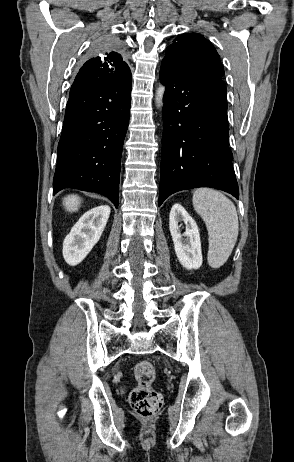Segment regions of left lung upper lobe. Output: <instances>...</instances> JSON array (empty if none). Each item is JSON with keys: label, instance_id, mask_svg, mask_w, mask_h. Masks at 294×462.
Returning <instances> with one entry per match:
<instances>
[{"label": "left lung upper lobe", "instance_id": "obj_1", "mask_svg": "<svg viewBox=\"0 0 294 462\" xmlns=\"http://www.w3.org/2000/svg\"><path fill=\"white\" fill-rule=\"evenodd\" d=\"M162 63L209 80L221 79L224 75V68L216 49L196 33H185L175 39L174 43L167 47Z\"/></svg>", "mask_w": 294, "mask_h": 462}]
</instances>
